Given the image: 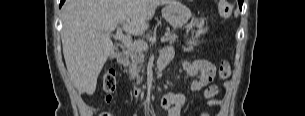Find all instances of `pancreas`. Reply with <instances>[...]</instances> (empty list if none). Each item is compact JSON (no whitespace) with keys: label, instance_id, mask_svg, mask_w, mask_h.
Listing matches in <instances>:
<instances>
[{"label":"pancreas","instance_id":"obj_1","mask_svg":"<svg viewBox=\"0 0 305 116\" xmlns=\"http://www.w3.org/2000/svg\"><path fill=\"white\" fill-rule=\"evenodd\" d=\"M166 37L171 43L175 42L177 39V36L169 29L166 32ZM128 56L131 61L127 62L126 66L128 67L130 78L136 79V84L139 85L142 83V77H140L139 73L141 72V68L143 67L144 63L143 51L138 49H130L128 51Z\"/></svg>","mask_w":305,"mask_h":116}]
</instances>
